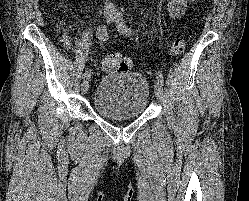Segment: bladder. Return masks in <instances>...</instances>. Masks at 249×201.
Listing matches in <instances>:
<instances>
[{"label": "bladder", "instance_id": "bladder-1", "mask_svg": "<svg viewBox=\"0 0 249 201\" xmlns=\"http://www.w3.org/2000/svg\"><path fill=\"white\" fill-rule=\"evenodd\" d=\"M149 84L141 73L106 74L98 82L93 107L103 118L129 120L140 117L147 109Z\"/></svg>", "mask_w": 249, "mask_h": 201}]
</instances>
